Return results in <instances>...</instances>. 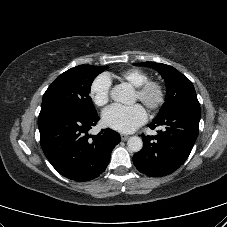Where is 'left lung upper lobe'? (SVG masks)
I'll return each mask as SVG.
<instances>
[{
	"instance_id": "1",
	"label": "left lung upper lobe",
	"mask_w": 227,
	"mask_h": 227,
	"mask_svg": "<svg viewBox=\"0 0 227 227\" xmlns=\"http://www.w3.org/2000/svg\"><path fill=\"white\" fill-rule=\"evenodd\" d=\"M134 65L149 66L157 70L165 80V103L155 119L164 118L182 108H200L193 84L172 66L155 62L135 63Z\"/></svg>"
}]
</instances>
